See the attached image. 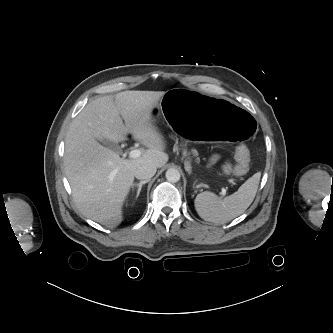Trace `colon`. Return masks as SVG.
<instances>
[{
  "instance_id": "1",
  "label": "colon",
  "mask_w": 333,
  "mask_h": 333,
  "mask_svg": "<svg viewBox=\"0 0 333 333\" xmlns=\"http://www.w3.org/2000/svg\"><path fill=\"white\" fill-rule=\"evenodd\" d=\"M236 161L235 172L237 175H243L247 172L249 165V150L245 145H240L236 149Z\"/></svg>"
}]
</instances>
